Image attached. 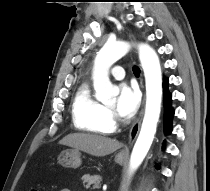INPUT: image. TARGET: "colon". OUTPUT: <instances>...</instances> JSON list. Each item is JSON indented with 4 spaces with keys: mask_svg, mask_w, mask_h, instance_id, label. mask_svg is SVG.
Returning <instances> with one entry per match:
<instances>
[{
    "mask_svg": "<svg viewBox=\"0 0 210 191\" xmlns=\"http://www.w3.org/2000/svg\"><path fill=\"white\" fill-rule=\"evenodd\" d=\"M30 191H40V190H38V189H32V190H30Z\"/></svg>",
    "mask_w": 210,
    "mask_h": 191,
    "instance_id": "5ec220e1",
    "label": "colon"
}]
</instances>
